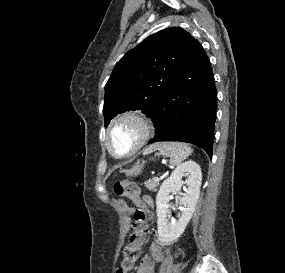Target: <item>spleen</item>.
Wrapping results in <instances>:
<instances>
[{
	"label": "spleen",
	"instance_id": "obj_1",
	"mask_svg": "<svg viewBox=\"0 0 285 273\" xmlns=\"http://www.w3.org/2000/svg\"><path fill=\"white\" fill-rule=\"evenodd\" d=\"M160 151L163 155L170 158V164L174 166L180 165L191 153L192 149L185 143L181 142H160L151 145L144 150V154L153 151Z\"/></svg>",
	"mask_w": 285,
	"mask_h": 273
}]
</instances>
